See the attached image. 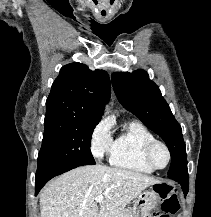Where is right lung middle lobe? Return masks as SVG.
<instances>
[{
  "mask_svg": "<svg viewBox=\"0 0 211 217\" xmlns=\"http://www.w3.org/2000/svg\"><path fill=\"white\" fill-rule=\"evenodd\" d=\"M98 121L72 118L45 120L37 170L57 165H93L91 136Z\"/></svg>",
  "mask_w": 211,
  "mask_h": 217,
  "instance_id": "1",
  "label": "right lung middle lobe"
}]
</instances>
